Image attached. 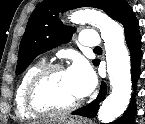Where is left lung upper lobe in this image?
Listing matches in <instances>:
<instances>
[{
  "label": "left lung upper lobe",
  "mask_w": 145,
  "mask_h": 124,
  "mask_svg": "<svg viewBox=\"0 0 145 124\" xmlns=\"http://www.w3.org/2000/svg\"><path fill=\"white\" fill-rule=\"evenodd\" d=\"M79 7L102 9L118 20L130 8L125 0H45L31 14L19 47L16 75H20L39 54L71 39L74 28L64 26L58 13ZM93 63L96 65L97 61Z\"/></svg>",
  "instance_id": "obj_1"
}]
</instances>
